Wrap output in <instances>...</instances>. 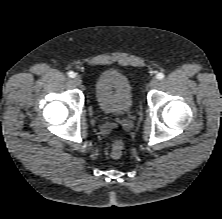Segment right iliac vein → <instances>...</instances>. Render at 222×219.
<instances>
[{"label": "right iliac vein", "instance_id": "1", "mask_svg": "<svg viewBox=\"0 0 222 219\" xmlns=\"http://www.w3.org/2000/svg\"><path fill=\"white\" fill-rule=\"evenodd\" d=\"M73 83L76 85V86H80L82 84V79L80 76H75L73 78Z\"/></svg>", "mask_w": 222, "mask_h": 219}]
</instances>
